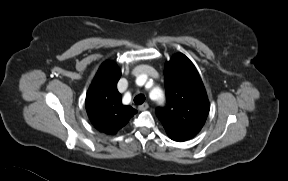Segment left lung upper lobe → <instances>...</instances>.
<instances>
[{
	"instance_id": "1",
	"label": "left lung upper lobe",
	"mask_w": 288,
	"mask_h": 181,
	"mask_svg": "<svg viewBox=\"0 0 288 181\" xmlns=\"http://www.w3.org/2000/svg\"><path fill=\"white\" fill-rule=\"evenodd\" d=\"M167 106L156 114L172 140L186 141L203 127L209 113V101L193 63L182 53L164 67Z\"/></svg>"
}]
</instances>
